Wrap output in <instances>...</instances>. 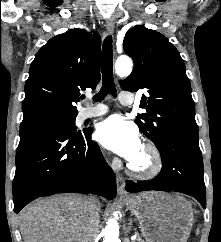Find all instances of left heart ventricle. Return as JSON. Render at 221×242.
Returning <instances> with one entry per match:
<instances>
[{
  "mask_svg": "<svg viewBox=\"0 0 221 242\" xmlns=\"http://www.w3.org/2000/svg\"><path fill=\"white\" fill-rule=\"evenodd\" d=\"M145 154L142 150L139 151V153L137 154V156L131 161L133 163H135L136 165L142 166L145 164L146 159H145Z\"/></svg>",
  "mask_w": 221,
  "mask_h": 242,
  "instance_id": "b2bd125f",
  "label": "left heart ventricle"
}]
</instances>
